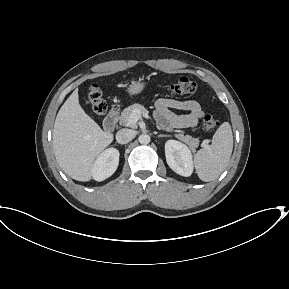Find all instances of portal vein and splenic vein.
Instances as JSON below:
<instances>
[{"instance_id": "18ae733b", "label": "portal vein and splenic vein", "mask_w": 289, "mask_h": 289, "mask_svg": "<svg viewBox=\"0 0 289 289\" xmlns=\"http://www.w3.org/2000/svg\"><path fill=\"white\" fill-rule=\"evenodd\" d=\"M141 112L138 110H135L132 112V114L130 115V122L131 123H136L140 118H141ZM207 141H204V144H206Z\"/></svg>"}]
</instances>
